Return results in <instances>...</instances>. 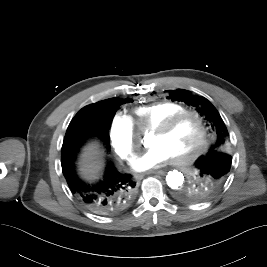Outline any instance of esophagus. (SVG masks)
Segmentation results:
<instances>
[{
  "mask_svg": "<svg viewBox=\"0 0 267 267\" xmlns=\"http://www.w3.org/2000/svg\"><path fill=\"white\" fill-rule=\"evenodd\" d=\"M150 173H158V174H163L164 172H163L162 170H160V171H157V172H155V171H152V172H150ZM139 177H141V176H139Z\"/></svg>",
  "mask_w": 267,
  "mask_h": 267,
  "instance_id": "1",
  "label": "esophagus"
}]
</instances>
